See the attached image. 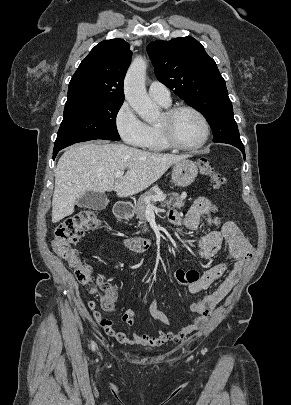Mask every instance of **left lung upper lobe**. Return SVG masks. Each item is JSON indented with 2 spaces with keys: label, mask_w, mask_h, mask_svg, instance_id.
<instances>
[{
  "label": "left lung upper lobe",
  "mask_w": 291,
  "mask_h": 405,
  "mask_svg": "<svg viewBox=\"0 0 291 405\" xmlns=\"http://www.w3.org/2000/svg\"><path fill=\"white\" fill-rule=\"evenodd\" d=\"M156 77L208 120L214 142L242 144L225 80L215 61L193 37L147 46Z\"/></svg>",
  "instance_id": "1"
}]
</instances>
